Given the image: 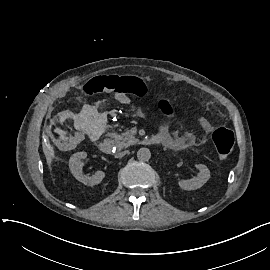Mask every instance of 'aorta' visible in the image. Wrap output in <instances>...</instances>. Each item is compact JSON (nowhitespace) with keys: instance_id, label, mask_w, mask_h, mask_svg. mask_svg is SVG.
Here are the masks:
<instances>
[{"instance_id":"762f6f07","label":"aorta","mask_w":270,"mask_h":270,"mask_svg":"<svg viewBox=\"0 0 270 270\" xmlns=\"http://www.w3.org/2000/svg\"><path fill=\"white\" fill-rule=\"evenodd\" d=\"M137 158L140 161H148L151 158V152L148 148H140L137 152Z\"/></svg>"}]
</instances>
